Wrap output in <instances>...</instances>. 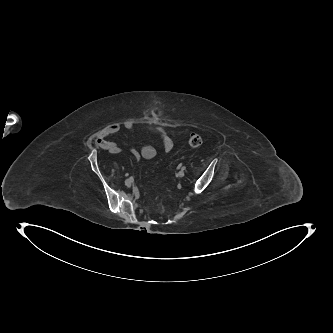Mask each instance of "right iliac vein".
I'll use <instances>...</instances> for the list:
<instances>
[{
    "label": "right iliac vein",
    "mask_w": 333,
    "mask_h": 333,
    "mask_svg": "<svg viewBox=\"0 0 333 333\" xmlns=\"http://www.w3.org/2000/svg\"><path fill=\"white\" fill-rule=\"evenodd\" d=\"M126 182H128L127 186H128V187H130V186H131V184H132V179H131V178H129V179H127V180H126Z\"/></svg>",
    "instance_id": "63e3f726"
}]
</instances>
